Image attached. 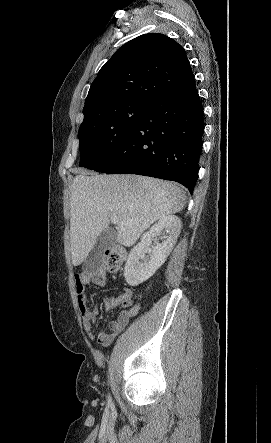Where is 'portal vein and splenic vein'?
Returning a JSON list of instances; mask_svg holds the SVG:
<instances>
[{
  "label": "portal vein and splenic vein",
  "mask_w": 271,
  "mask_h": 443,
  "mask_svg": "<svg viewBox=\"0 0 271 443\" xmlns=\"http://www.w3.org/2000/svg\"><path fill=\"white\" fill-rule=\"evenodd\" d=\"M111 222L117 223L118 222L117 216H111Z\"/></svg>",
  "instance_id": "portal-vein-and-splenic-vein-1"
}]
</instances>
